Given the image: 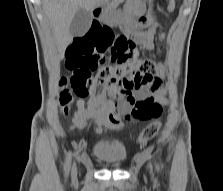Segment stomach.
Wrapping results in <instances>:
<instances>
[{
    "instance_id": "1",
    "label": "stomach",
    "mask_w": 223,
    "mask_h": 191,
    "mask_svg": "<svg viewBox=\"0 0 223 191\" xmlns=\"http://www.w3.org/2000/svg\"><path fill=\"white\" fill-rule=\"evenodd\" d=\"M149 3L152 0H148ZM148 20L151 21L150 15H148ZM99 19L105 23L112 25H119L128 28H136L137 23L129 17L127 10H112V9H103L99 15Z\"/></svg>"
}]
</instances>
